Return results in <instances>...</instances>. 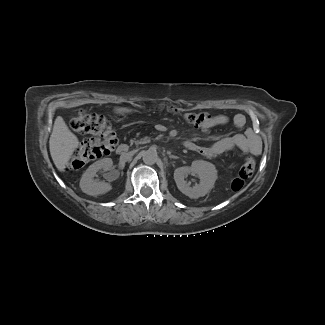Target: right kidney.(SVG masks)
<instances>
[{
  "label": "right kidney",
  "instance_id": "ca27d5eb",
  "mask_svg": "<svg viewBox=\"0 0 325 325\" xmlns=\"http://www.w3.org/2000/svg\"><path fill=\"white\" fill-rule=\"evenodd\" d=\"M113 165L111 158H104L94 162L89 168L84 172L80 180L81 190L91 196H97L100 194H105L112 189V186L106 182H99L94 179L96 173L103 169L105 171L110 170Z\"/></svg>",
  "mask_w": 325,
  "mask_h": 325
}]
</instances>
